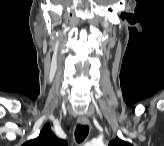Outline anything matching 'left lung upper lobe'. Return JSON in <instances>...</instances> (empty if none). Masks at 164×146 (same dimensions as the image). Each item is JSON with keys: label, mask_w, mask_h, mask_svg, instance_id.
<instances>
[{"label": "left lung upper lobe", "mask_w": 164, "mask_h": 146, "mask_svg": "<svg viewBox=\"0 0 164 146\" xmlns=\"http://www.w3.org/2000/svg\"><path fill=\"white\" fill-rule=\"evenodd\" d=\"M109 146H131V144L117 137L109 143Z\"/></svg>", "instance_id": "1"}]
</instances>
